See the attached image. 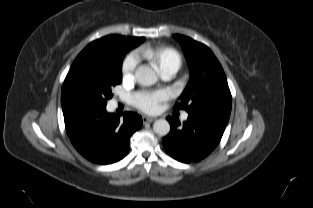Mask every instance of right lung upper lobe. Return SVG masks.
Segmentation results:
<instances>
[{
    "mask_svg": "<svg viewBox=\"0 0 313 208\" xmlns=\"http://www.w3.org/2000/svg\"><path fill=\"white\" fill-rule=\"evenodd\" d=\"M145 40L144 37H125L120 35H108L88 44L74 60L72 67L85 62L100 60L103 58L104 50L111 44L121 43L130 49L137 47Z\"/></svg>",
    "mask_w": 313,
    "mask_h": 208,
    "instance_id": "obj_1",
    "label": "right lung upper lobe"
}]
</instances>
